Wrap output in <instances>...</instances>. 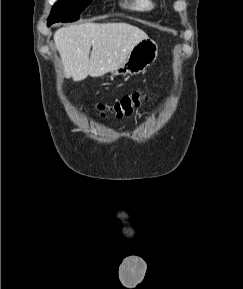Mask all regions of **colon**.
Listing matches in <instances>:
<instances>
[{"instance_id": "1", "label": "colon", "mask_w": 243, "mask_h": 289, "mask_svg": "<svg viewBox=\"0 0 243 289\" xmlns=\"http://www.w3.org/2000/svg\"><path fill=\"white\" fill-rule=\"evenodd\" d=\"M147 99L148 95L145 91H137L121 97L112 105L97 104L96 108L101 115L110 113L121 118L131 115Z\"/></svg>"}]
</instances>
